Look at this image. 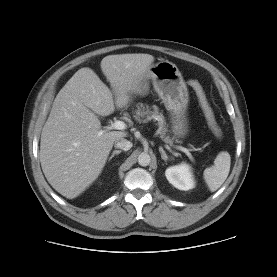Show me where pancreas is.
<instances>
[{
  "mask_svg": "<svg viewBox=\"0 0 277 277\" xmlns=\"http://www.w3.org/2000/svg\"><path fill=\"white\" fill-rule=\"evenodd\" d=\"M133 117L138 123H147L148 121H157L158 133L160 138L167 144H173V138L167 135L168 128L165 121V117L162 112H160L158 106L138 103L136 109L134 110Z\"/></svg>",
  "mask_w": 277,
  "mask_h": 277,
  "instance_id": "cf45deb5",
  "label": "pancreas"
}]
</instances>
